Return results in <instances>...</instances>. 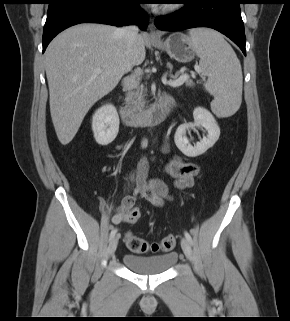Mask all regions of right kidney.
<instances>
[{"mask_svg": "<svg viewBox=\"0 0 290 321\" xmlns=\"http://www.w3.org/2000/svg\"><path fill=\"white\" fill-rule=\"evenodd\" d=\"M92 131L99 145L110 144L119 131V116L112 104H105L92 116Z\"/></svg>", "mask_w": 290, "mask_h": 321, "instance_id": "ca27d5eb", "label": "right kidney"}]
</instances>
